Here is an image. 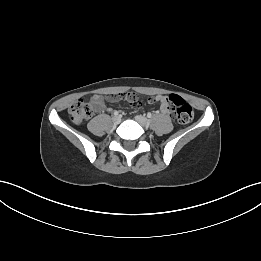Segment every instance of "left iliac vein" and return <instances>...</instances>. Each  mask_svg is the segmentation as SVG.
<instances>
[{
  "label": "left iliac vein",
  "mask_w": 261,
  "mask_h": 261,
  "mask_svg": "<svg viewBox=\"0 0 261 261\" xmlns=\"http://www.w3.org/2000/svg\"><path fill=\"white\" fill-rule=\"evenodd\" d=\"M135 120L143 127H146L149 125V120L142 115H137L135 116Z\"/></svg>",
  "instance_id": "4c4485c4"
}]
</instances>
